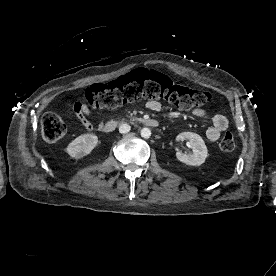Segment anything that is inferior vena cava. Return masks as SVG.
Returning <instances> with one entry per match:
<instances>
[{"instance_id": "602c4592", "label": "inferior vena cava", "mask_w": 276, "mask_h": 276, "mask_svg": "<svg viewBox=\"0 0 276 276\" xmlns=\"http://www.w3.org/2000/svg\"><path fill=\"white\" fill-rule=\"evenodd\" d=\"M131 127L130 125L128 124H122L120 127H119V132L124 134V133H128L130 131Z\"/></svg>"}]
</instances>
